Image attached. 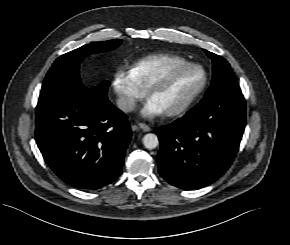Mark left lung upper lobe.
Returning <instances> with one entry per match:
<instances>
[{"instance_id": "1", "label": "left lung upper lobe", "mask_w": 290, "mask_h": 245, "mask_svg": "<svg viewBox=\"0 0 290 245\" xmlns=\"http://www.w3.org/2000/svg\"><path fill=\"white\" fill-rule=\"evenodd\" d=\"M213 62V77L203 100L211 99L225 92H241L229 63L221 56L204 50Z\"/></svg>"}]
</instances>
